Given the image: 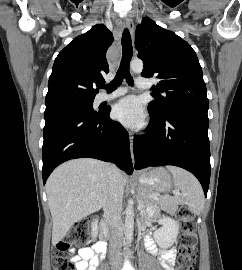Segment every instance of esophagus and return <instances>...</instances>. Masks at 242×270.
I'll return each instance as SVG.
<instances>
[{
    "label": "esophagus",
    "mask_w": 242,
    "mask_h": 270,
    "mask_svg": "<svg viewBox=\"0 0 242 270\" xmlns=\"http://www.w3.org/2000/svg\"><path fill=\"white\" fill-rule=\"evenodd\" d=\"M125 26L127 27V29L129 30V32L131 33V35H133L134 32V21L133 18L128 15L126 17V22H125ZM129 139H130V151H131V158H132V162L134 163V154H133V135L131 132H129Z\"/></svg>",
    "instance_id": "34e87169"
}]
</instances>
